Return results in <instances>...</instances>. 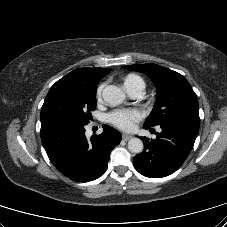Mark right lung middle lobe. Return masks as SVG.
Wrapping results in <instances>:
<instances>
[{"mask_svg": "<svg viewBox=\"0 0 227 227\" xmlns=\"http://www.w3.org/2000/svg\"><path fill=\"white\" fill-rule=\"evenodd\" d=\"M99 80L63 77L49 90L41 108V125L67 121L87 125L96 107V88Z\"/></svg>", "mask_w": 227, "mask_h": 227, "instance_id": "right-lung-middle-lobe-1", "label": "right lung middle lobe"}]
</instances>
